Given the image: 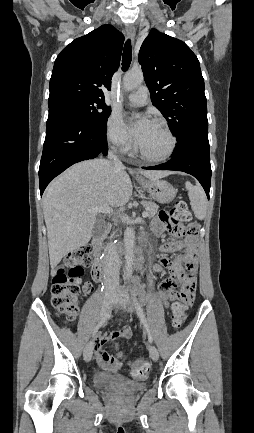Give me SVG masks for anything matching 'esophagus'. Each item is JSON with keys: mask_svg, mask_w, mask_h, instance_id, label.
Wrapping results in <instances>:
<instances>
[{"mask_svg": "<svg viewBox=\"0 0 254 433\" xmlns=\"http://www.w3.org/2000/svg\"><path fill=\"white\" fill-rule=\"evenodd\" d=\"M135 27L133 25H127L126 26V34L127 36L133 41L135 38Z\"/></svg>", "mask_w": 254, "mask_h": 433, "instance_id": "esophagus-1", "label": "esophagus"}]
</instances>
